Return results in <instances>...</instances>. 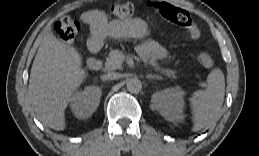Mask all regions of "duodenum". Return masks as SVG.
<instances>
[{
  "instance_id": "1",
  "label": "duodenum",
  "mask_w": 259,
  "mask_h": 156,
  "mask_svg": "<svg viewBox=\"0 0 259 156\" xmlns=\"http://www.w3.org/2000/svg\"><path fill=\"white\" fill-rule=\"evenodd\" d=\"M91 49L98 50L100 48V43L98 41H95L91 44ZM87 67L91 70H99L102 67L101 60L97 58H89L86 62Z\"/></svg>"
}]
</instances>
